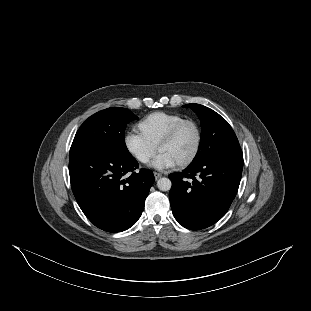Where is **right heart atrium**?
<instances>
[{"mask_svg": "<svg viewBox=\"0 0 311 311\" xmlns=\"http://www.w3.org/2000/svg\"><path fill=\"white\" fill-rule=\"evenodd\" d=\"M123 144L128 155L138 164H147L156 154V147L150 145L134 128L129 130Z\"/></svg>", "mask_w": 311, "mask_h": 311, "instance_id": "1", "label": "right heart atrium"}]
</instances>
